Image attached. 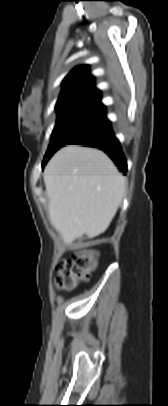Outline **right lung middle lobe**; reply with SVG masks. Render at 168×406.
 Masks as SVG:
<instances>
[{"label": "right lung middle lobe", "instance_id": "right-lung-middle-lobe-1", "mask_svg": "<svg viewBox=\"0 0 168 406\" xmlns=\"http://www.w3.org/2000/svg\"><path fill=\"white\" fill-rule=\"evenodd\" d=\"M110 125L104 106H77L58 111L56 125L42 166L64 145L77 142Z\"/></svg>", "mask_w": 168, "mask_h": 406}]
</instances>
